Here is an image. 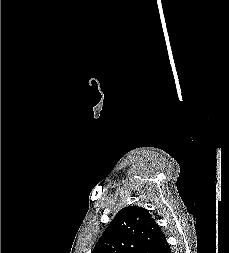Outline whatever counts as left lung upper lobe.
I'll return each mask as SVG.
<instances>
[{
  "mask_svg": "<svg viewBox=\"0 0 229 253\" xmlns=\"http://www.w3.org/2000/svg\"><path fill=\"white\" fill-rule=\"evenodd\" d=\"M164 238L148 210L128 206L116 214L92 253H155Z\"/></svg>",
  "mask_w": 229,
  "mask_h": 253,
  "instance_id": "1",
  "label": "left lung upper lobe"
}]
</instances>
